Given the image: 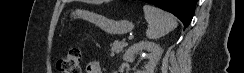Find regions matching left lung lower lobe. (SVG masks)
Segmentation results:
<instances>
[{
	"label": "left lung lower lobe",
	"mask_w": 244,
	"mask_h": 73,
	"mask_svg": "<svg viewBox=\"0 0 244 73\" xmlns=\"http://www.w3.org/2000/svg\"><path fill=\"white\" fill-rule=\"evenodd\" d=\"M151 3L179 18L186 28L194 15L197 0H142Z\"/></svg>",
	"instance_id": "0a47b994"
}]
</instances>
